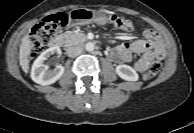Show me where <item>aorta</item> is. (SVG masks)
Segmentation results:
<instances>
[{
  "instance_id": "762f6f07",
  "label": "aorta",
  "mask_w": 194,
  "mask_h": 133,
  "mask_svg": "<svg viewBox=\"0 0 194 133\" xmlns=\"http://www.w3.org/2000/svg\"><path fill=\"white\" fill-rule=\"evenodd\" d=\"M94 48H95V45H94L93 42H88V43H86V45H85V49H86L87 51H89V52H92V51L94 50Z\"/></svg>"
}]
</instances>
